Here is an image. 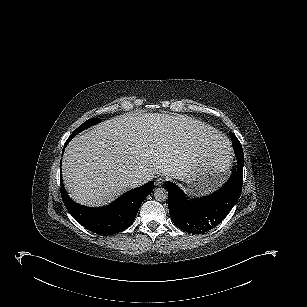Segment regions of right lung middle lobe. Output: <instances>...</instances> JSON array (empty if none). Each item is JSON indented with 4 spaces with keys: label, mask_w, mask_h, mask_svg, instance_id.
Masks as SVG:
<instances>
[{
    "label": "right lung middle lobe",
    "mask_w": 307,
    "mask_h": 307,
    "mask_svg": "<svg viewBox=\"0 0 307 307\" xmlns=\"http://www.w3.org/2000/svg\"><path fill=\"white\" fill-rule=\"evenodd\" d=\"M100 121L99 118H91L88 119L87 121H85L82 125H80V127H78L72 134L71 136L68 138V142L79 132L83 131L84 129L88 128L89 126L98 123Z\"/></svg>",
    "instance_id": "right-lung-middle-lobe-1"
}]
</instances>
